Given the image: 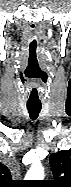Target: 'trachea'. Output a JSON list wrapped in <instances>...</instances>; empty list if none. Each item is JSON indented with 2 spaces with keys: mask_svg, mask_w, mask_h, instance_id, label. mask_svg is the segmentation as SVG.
I'll use <instances>...</instances> for the list:
<instances>
[{
  "mask_svg": "<svg viewBox=\"0 0 71 187\" xmlns=\"http://www.w3.org/2000/svg\"><path fill=\"white\" fill-rule=\"evenodd\" d=\"M28 112L30 115V118L32 120L37 119L39 116L40 110H41V105H27Z\"/></svg>",
  "mask_w": 71,
  "mask_h": 187,
  "instance_id": "trachea-1",
  "label": "trachea"
}]
</instances>
